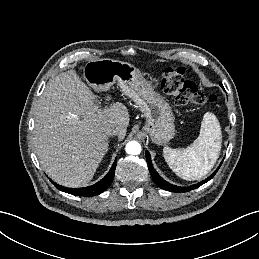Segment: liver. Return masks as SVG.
<instances>
[{
    "label": "liver",
    "instance_id": "1",
    "mask_svg": "<svg viewBox=\"0 0 259 259\" xmlns=\"http://www.w3.org/2000/svg\"><path fill=\"white\" fill-rule=\"evenodd\" d=\"M34 120V146L45 172L60 185L79 187L93 178L107 153V131L118 127V139H124L130 118L119 102L99 109L90 88L68 70L48 82Z\"/></svg>",
    "mask_w": 259,
    "mask_h": 259
}]
</instances>
